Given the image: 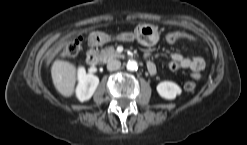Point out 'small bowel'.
I'll return each instance as SVG.
<instances>
[{
  "label": "small bowel",
  "instance_id": "c3829d8e",
  "mask_svg": "<svg viewBox=\"0 0 247 145\" xmlns=\"http://www.w3.org/2000/svg\"><path fill=\"white\" fill-rule=\"evenodd\" d=\"M183 39L189 41H195V37L186 33H181ZM147 57L150 56L149 53L146 54ZM169 67L172 70L187 69L191 72L192 77L199 78L200 71L205 67V60L202 57H186L180 53H174L171 56ZM150 74H155L151 73Z\"/></svg>",
  "mask_w": 247,
  "mask_h": 145
}]
</instances>
